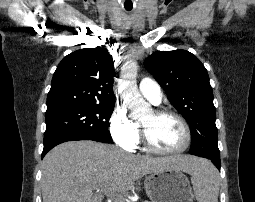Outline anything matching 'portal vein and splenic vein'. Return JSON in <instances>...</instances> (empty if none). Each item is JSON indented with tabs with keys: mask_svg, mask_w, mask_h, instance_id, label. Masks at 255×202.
I'll return each mask as SVG.
<instances>
[{
	"mask_svg": "<svg viewBox=\"0 0 255 202\" xmlns=\"http://www.w3.org/2000/svg\"><path fill=\"white\" fill-rule=\"evenodd\" d=\"M102 190H103V192L105 193V194H108V195H113L114 193L108 188V187H103L102 188Z\"/></svg>",
	"mask_w": 255,
	"mask_h": 202,
	"instance_id": "obj_1",
	"label": "portal vein and splenic vein"
}]
</instances>
